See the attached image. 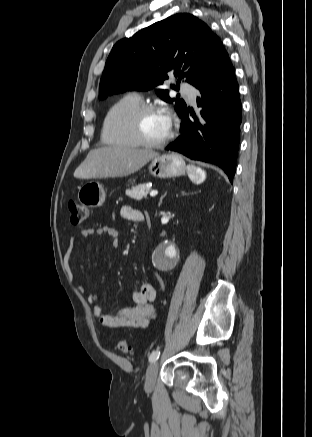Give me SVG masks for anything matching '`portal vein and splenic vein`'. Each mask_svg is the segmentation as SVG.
<instances>
[{
	"mask_svg": "<svg viewBox=\"0 0 312 437\" xmlns=\"http://www.w3.org/2000/svg\"><path fill=\"white\" fill-rule=\"evenodd\" d=\"M158 194V191L157 190H152L151 192H150V196L151 197H154V196H156Z\"/></svg>",
	"mask_w": 312,
	"mask_h": 437,
	"instance_id": "18ae733b",
	"label": "portal vein and splenic vein"
}]
</instances>
